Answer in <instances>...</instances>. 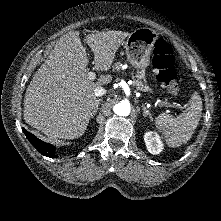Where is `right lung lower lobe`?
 <instances>
[{
    "label": "right lung lower lobe",
    "mask_w": 221,
    "mask_h": 221,
    "mask_svg": "<svg viewBox=\"0 0 221 221\" xmlns=\"http://www.w3.org/2000/svg\"><path fill=\"white\" fill-rule=\"evenodd\" d=\"M23 132L32 143V145L44 156L54 158L56 156L55 149L56 147L38 139L33 134L29 133L26 129L23 128Z\"/></svg>",
    "instance_id": "98d812e1"
}]
</instances>
